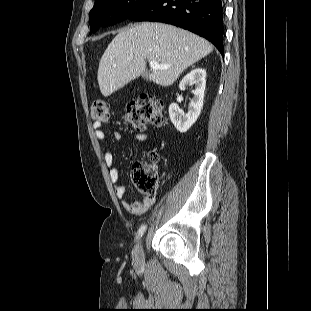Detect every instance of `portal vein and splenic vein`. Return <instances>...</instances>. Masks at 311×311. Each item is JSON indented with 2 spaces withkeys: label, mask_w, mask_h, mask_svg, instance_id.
<instances>
[{
  "label": "portal vein and splenic vein",
  "mask_w": 311,
  "mask_h": 311,
  "mask_svg": "<svg viewBox=\"0 0 311 311\" xmlns=\"http://www.w3.org/2000/svg\"><path fill=\"white\" fill-rule=\"evenodd\" d=\"M149 65L153 71H156L158 69H168L169 65H159L156 61H150Z\"/></svg>",
  "instance_id": "portal-vein-and-splenic-vein-1"
}]
</instances>
